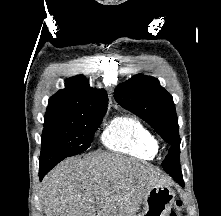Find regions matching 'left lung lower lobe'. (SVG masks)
I'll list each match as a JSON object with an SVG mask.
<instances>
[{
    "mask_svg": "<svg viewBox=\"0 0 221 216\" xmlns=\"http://www.w3.org/2000/svg\"><path fill=\"white\" fill-rule=\"evenodd\" d=\"M176 182H178L181 186H184L183 179H182V174L180 176L174 177Z\"/></svg>",
    "mask_w": 221,
    "mask_h": 216,
    "instance_id": "1",
    "label": "left lung lower lobe"
}]
</instances>
